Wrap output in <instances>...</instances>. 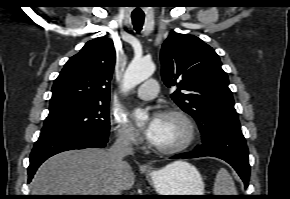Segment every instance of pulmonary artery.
Returning <instances> with one entry per match:
<instances>
[{
	"instance_id": "pulmonary-artery-1",
	"label": "pulmonary artery",
	"mask_w": 290,
	"mask_h": 199,
	"mask_svg": "<svg viewBox=\"0 0 290 199\" xmlns=\"http://www.w3.org/2000/svg\"><path fill=\"white\" fill-rule=\"evenodd\" d=\"M158 90V82L156 80H148L140 85L134 94L141 100H151L156 97Z\"/></svg>"
}]
</instances>
